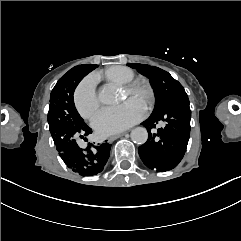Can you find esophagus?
<instances>
[{"label":"esophagus","instance_id":"obj_1","mask_svg":"<svg viewBox=\"0 0 241 241\" xmlns=\"http://www.w3.org/2000/svg\"><path fill=\"white\" fill-rule=\"evenodd\" d=\"M123 135H124L123 133L116 134V135L110 136V137L108 138V140H109V141H114V140L120 138V137L123 136Z\"/></svg>","mask_w":241,"mask_h":241}]
</instances>
